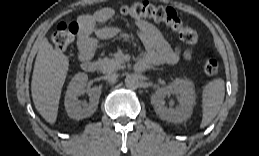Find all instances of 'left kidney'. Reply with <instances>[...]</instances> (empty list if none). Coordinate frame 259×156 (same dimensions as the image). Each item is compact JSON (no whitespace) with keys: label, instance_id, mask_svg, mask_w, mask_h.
<instances>
[{"label":"left kidney","instance_id":"left-kidney-1","mask_svg":"<svg viewBox=\"0 0 259 156\" xmlns=\"http://www.w3.org/2000/svg\"><path fill=\"white\" fill-rule=\"evenodd\" d=\"M171 94L179 96V105L176 108H168L165 105V97ZM195 97L193 82L188 79L176 78L166 87L156 90L151 96V103L155 108V112L162 119L179 123L186 121L191 116Z\"/></svg>","mask_w":259,"mask_h":156}]
</instances>
